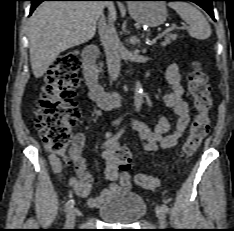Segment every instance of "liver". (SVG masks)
<instances>
[{
	"instance_id": "liver-1",
	"label": "liver",
	"mask_w": 234,
	"mask_h": 231,
	"mask_svg": "<svg viewBox=\"0 0 234 231\" xmlns=\"http://www.w3.org/2000/svg\"><path fill=\"white\" fill-rule=\"evenodd\" d=\"M102 1L43 2L29 19L30 61L40 78L58 55L91 40L103 16ZM109 20H116L114 4L107 7Z\"/></svg>"
}]
</instances>
